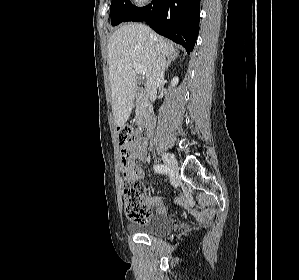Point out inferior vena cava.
Returning <instances> with one entry per match:
<instances>
[{
    "label": "inferior vena cava",
    "mask_w": 299,
    "mask_h": 280,
    "mask_svg": "<svg viewBox=\"0 0 299 280\" xmlns=\"http://www.w3.org/2000/svg\"><path fill=\"white\" fill-rule=\"evenodd\" d=\"M166 68V58L165 56L159 55L155 60L153 69L149 74L146 82V90L151 101H154L157 96V87L164 80V73Z\"/></svg>",
    "instance_id": "inferior-vena-cava-1"
}]
</instances>
